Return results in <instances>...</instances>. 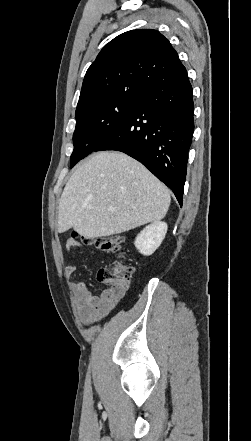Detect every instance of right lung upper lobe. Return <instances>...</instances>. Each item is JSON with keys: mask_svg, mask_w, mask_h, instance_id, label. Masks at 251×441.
Instances as JSON below:
<instances>
[{"mask_svg": "<svg viewBox=\"0 0 251 441\" xmlns=\"http://www.w3.org/2000/svg\"><path fill=\"white\" fill-rule=\"evenodd\" d=\"M184 68L168 39L158 31L125 32L110 41L88 68L76 112L105 98L143 95Z\"/></svg>", "mask_w": 251, "mask_h": 441, "instance_id": "1", "label": "right lung upper lobe"}]
</instances>
